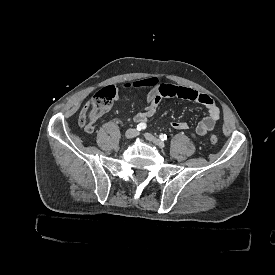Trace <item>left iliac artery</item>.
<instances>
[{
  "instance_id": "left-iliac-artery-1",
  "label": "left iliac artery",
  "mask_w": 275,
  "mask_h": 275,
  "mask_svg": "<svg viewBox=\"0 0 275 275\" xmlns=\"http://www.w3.org/2000/svg\"><path fill=\"white\" fill-rule=\"evenodd\" d=\"M159 138L162 140V141H165L167 140V135L166 134H160Z\"/></svg>"
}]
</instances>
